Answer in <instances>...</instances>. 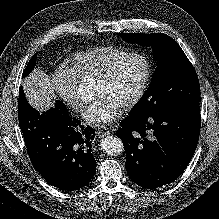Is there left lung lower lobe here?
I'll return each mask as SVG.
<instances>
[{"label":"left lung lower lobe","instance_id":"1","mask_svg":"<svg viewBox=\"0 0 219 219\" xmlns=\"http://www.w3.org/2000/svg\"><path fill=\"white\" fill-rule=\"evenodd\" d=\"M200 127L199 103L158 116H127L116 134L124 143L131 180L155 189L178 178L195 153Z\"/></svg>","mask_w":219,"mask_h":219}]
</instances>
